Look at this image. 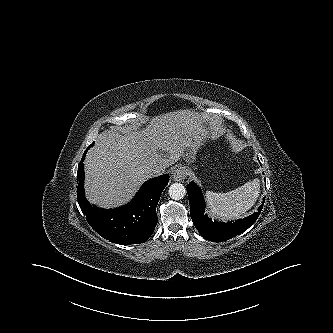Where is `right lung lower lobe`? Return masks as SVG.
Instances as JSON below:
<instances>
[{"instance_id":"98d812e1","label":"right lung lower lobe","mask_w":333,"mask_h":333,"mask_svg":"<svg viewBox=\"0 0 333 333\" xmlns=\"http://www.w3.org/2000/svg\"><path fill=\"white\" fill-rule=\"evenodd\" d=\"M86 151L78 166L77 197L87 222L100 236L110 242L121 245L144 243L156 227V207L162 191L169 182V175L164 174L145 182L133 200L125 206L110 210L99 209L92 206L84 194L82 162Z\"/></svg>"}]
</instances>
